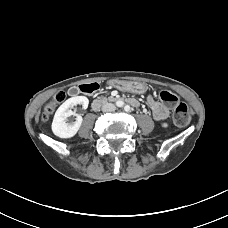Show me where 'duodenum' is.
Wrapping results in <instances>:
<instances>
[{"label": "duodenum", "instance_id": "obj_1", "mask_svg": "<svg viewBox=\"0 0 228 228\" xmlns=\"http://www.w3.org/2000/svg\"><path fill=\"white\" fill-rule=\"evenodd\" d=\"M95 88H91L90 85H87L84 92L85 93H88V94H91L93 92H95ZM115 101V100H118V98H110V99H95L92 103V106L94 109H98L104 102L106 101ZM118 102V101H117Z\"/></svg>", "mask_w": 228, "mask_h": 228}]
</instances>
